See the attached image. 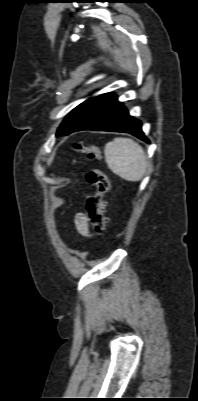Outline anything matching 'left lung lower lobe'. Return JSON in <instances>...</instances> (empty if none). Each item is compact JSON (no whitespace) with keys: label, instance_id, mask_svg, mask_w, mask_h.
<instances>
[{"label":"left lung lower lobe","instance_id":"1","mask_svg":"<svg viewBox=\"0 0 198 401\" xmlns=\"http://www.w3.org/2000/svg\"><path fill=\"white\" fill-rule=\"evenodd\" d=\"M81 130L126 132L149 143L142 132L141 122L131 117L117 97L110 93L96 97L66 131V135Z\"/></svg>","mask_w":198,"mask_h":401}]
</instances>
